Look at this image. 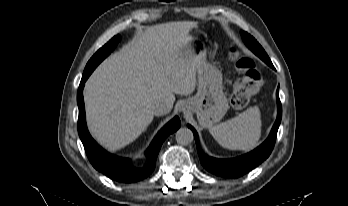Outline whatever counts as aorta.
<instances>
[{
  "instance_id": "obj_1",
  "label": "aorta",
  "mask_w": 348,
  "mask_h": 206,
  "mask_svg": "<svg viewBox=\"0 0 348 206\" xmlns=\"http://www.w3.org/2000/svg\"><path fill=\"white\" fill-rule=\"evenodd\" d=\"M176 141L181 145H188L194 140L193 132L186 127H181L176 131Z\"/></svg>"
}]
</instances>
